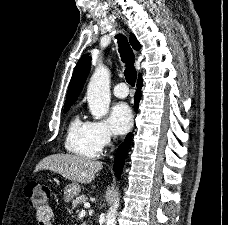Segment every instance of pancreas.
<instances>
[{
    "instance_id": "1",
    "label": "pancreas",
    "mask_w": 228,
    "mask_h": 225,
    "mask_svg": "<svg viewBox=\"0 0 228 225\" xmlns=\"http://www.w3.org/2000/svg\"><path fill=\"white\" fill-rule=\"evenodd\" d=\"M87 199L85 195H80V197H76V199H73L72 201V209H76L77 205H83V203H86Z\"/></svg>"
}]
</instances>
